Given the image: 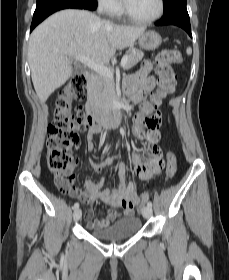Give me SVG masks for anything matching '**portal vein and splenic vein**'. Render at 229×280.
I'll return each mask as SVG.
<instances>
[{
  "mask_svg": "<svg viewBox=\"0 0 229 280\" xmlns=\"http://www.w3.org/2000/svg\"><path fill=\"white\" fill-rule=\"evenodd\" d=\"M74 59L81 62L83 65L89 67L90 69L98 72L100 75L113 78V71L102 63H97L87 56H75ZM127 61L128 56L124 55L121 60V67L124 68L127 64Z\"/></svg>",
  "mask_w": 229,
  "mask_h": 280,
  "instance_id": "portal-vein-and-splenic-vein-1",
  "label": "portal vein and splenic vein"
}]
</instances>
